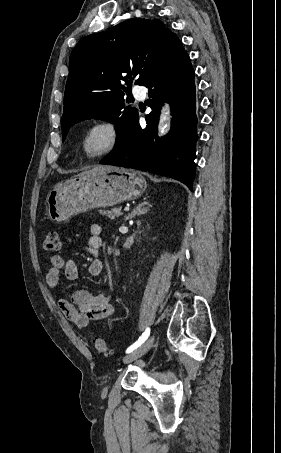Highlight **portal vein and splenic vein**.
<instances>
[{
	"mask_svg": "<svg viewBox=\"0 0 281 453\" xmlns=\"http://www.w3.org/2000/svg\"><path fill=\"white\" fill-rule=\"evenodd\" d=\"M124 212L128 213L131 211V208H130V205H127L126 207H124Z\"/></svg>",
	"mask_w": 281,
	"mask_h": 453,
	"instance_id": "18ae733b",
	"label": "portal vein and splenic vein"
}]
</instances>
